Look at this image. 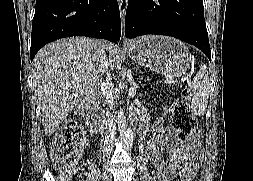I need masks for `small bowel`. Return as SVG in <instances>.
Instances as JSON below:
<instances>
[{
  "instance_id": "small-bowel-1",
  "label": "small bowel",
  "mask_w": 253,
  "mask_h": 181,
  "mask_svg": "<svg viewBox=\"0 0 253 181\" xmlns=\"http://www.w3.org/2000/svg\"><path fill=\"white\" fill-rule=\"evenodd\" d=\"M146 151L156 170L154 181H170V176L178 171L183 162H190L192 166L185 174L184 181H192L203 158L199 137L181 140L171 129H164L160 121L154 126L146 145ZM163 152L168 155L167 164L164 161Z\"/></svg>"
}]
</instances>
